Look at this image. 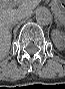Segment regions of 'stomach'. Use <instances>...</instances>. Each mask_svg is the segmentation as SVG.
<instances>
[{"instance_id":"obj_1","label":"stomach","mask_w":65,"mask_h":89,"mask_svg":"<svg viewBox=\"0 0 65 89\" xmlns=\"http://www.w3.org/2000/svg\"><path fill=\"white\" fill-rule=\"evenodd\" d=\"M52 9L58 20L65 23V3L64 2H53L51 4Z\"/></svg>"}]
</instances>
